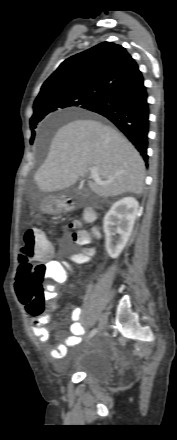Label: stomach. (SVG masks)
I'll use <instances>...</instances> for the list:
<instances>
[{
  "mask_svg": "<svg viewBox=\"0 0 177 440\" xmlns=\"http://www.w3.org/2000/svg\"><path fill=\"white\" fill-rule=\"evenodd\" d=\"M39 208L45 213H54L60 209V204L53 197H48L40 202Z\"/></svg>",
  "mask_w": 177,
  "mask_h": 440,
  "instance_id": "obj_1",
  "label": "stomach"
}]
</instances>
